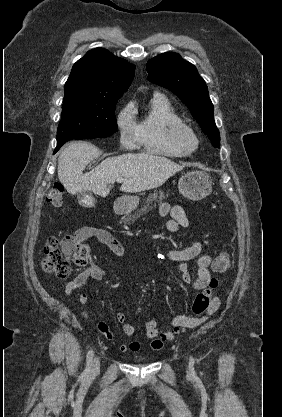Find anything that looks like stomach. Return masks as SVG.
I'll use <instances>...</instances> for the list:
<instances>
[{"label": "stomach", "instance_id": "1", "mask_svg": "<svg viewBox=\"0 0 282 417\" xmlns=\"http://www.w3.org/2000/svg\"><path fill=\"white\" fill-rule=\"evenodd\" d=\"M180 194L190 200H201L212 192V178L205 170H191L179 178ZM139 196H122V202L128 211H135L139 204Z\"/></svg>", "mask_w": 282, "mask_h": 417}]
</instances>
